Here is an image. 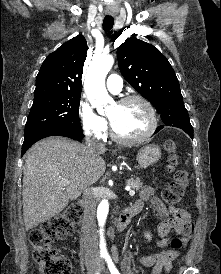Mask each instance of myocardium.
<instances>
[{"label":"myocardium","instance_id":"1","mask_svg":"<svg viewBox=\"0 0 221 274\" xmlns=\"http://www.w3.org/2000/svg\"><path fill=\"white\" fill-rule=\"evenodd\" d=\"M133 102H138L146 108L149 115V126L144 134L134 138H127V137L120 136L115 131L112 123H110V134L112 139L121 144H138V143L145 142L154 134L158 126V117H157L156 109L153 106V104L150 101H148L146 98L140 95H129L121 98L117 102V105L124 106Z\"/></svg>","mask_w":221,"mask_h":274}]
</instances>
